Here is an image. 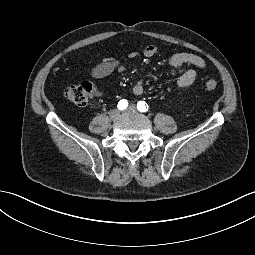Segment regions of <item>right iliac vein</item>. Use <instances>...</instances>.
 Instances as JSON below:
<instances>
[{
    "instance_id": "63e3f726",
    "label": "right iliac vein",
    "mask_w": 255,
    "mask_h": 255,
    "mask_svg": "<svg viewBox=\"0 0 255 255\" xmlns=\"http://www.w3.org/2000/svg\"><path fill=\"white\" fill-rule=\"evenodd\" d=\"M119 115H120V111L118 109H113L109 113V116H110L111 120H116L119 117Z\"/></svg>"
}]
</instances>
